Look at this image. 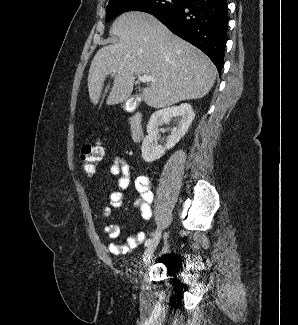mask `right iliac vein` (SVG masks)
I'll return each mask as SVG.
<instances>
[{
    "instance_id": "63e3f726",
    "label": "right iliac vein",
    "mask_w": 298,
    "mask_h": 325,
    "mask_svg": "<svg viewBox=\"0 0 298 325\" xmlns=\"http://www.w3.org/2000/svg\"><path fill=\"white\" fill-rule=\"evenodd\" d=\"M160 238H161V228L158 227L150 244L147 246V248L144 251V255H143L144 265H146L149 262L150 258L152 257V255L160 241Z\"/></svg>"
}]
</instances>
